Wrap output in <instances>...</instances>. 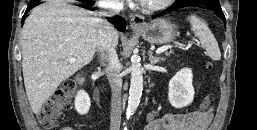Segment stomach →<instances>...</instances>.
I'll use <instances>...</instances> for the list:
<instances>
[{"label": "stomach", "instance_id": "0dacf381", "mask_svg": "<svg viewBox=\"0 0 257 130\" xmlns=\"http://www.w3.org/2000/svg\"><path fill=\"white\" fill-rule=\"evenodd\" d=\"M177 26L167 19H156L136 31L151 44H167L174 40Z\"/></svg>", "mask_w": 257, "mask_h": 130}]
</instances>
